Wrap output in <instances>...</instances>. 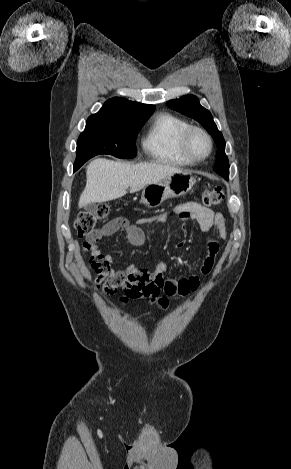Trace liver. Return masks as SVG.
Returning a JSON list of instances; mask_svg holds the SVG:
<instances>
[{"instance_id": "liver-1", "label": "liver", "mask_w": 291, "mask_h": 469, "mask_svg": "<svg viewBox=\"0 0 291 469\" xmlns=\"http://www.w3.org/2000/svg\"><path fill=\"white\" fill-rule=\"evenodd\" d=\"M181 169L165 164H130L103 158L94 159L86 168V186L78 206L115 200L126 194L127 188L134 193L147 185L162 181Z\"/></svg>"}]
</instances>
